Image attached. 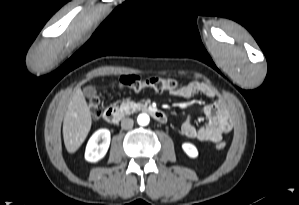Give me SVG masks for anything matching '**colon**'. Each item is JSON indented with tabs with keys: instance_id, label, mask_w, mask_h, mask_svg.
<instances>
[{
	"instance_id": "colon-1",
	"label": "colon",
	"mask_w": 299,
	"mask_h": 205,
	"mask_svg": "<svg viewBox=\"0 0 299 205\" xmlns=\"http://www.w3.org/2000/svg\"><path fill=\"white\" fill-rule=\"evenodd\" d=\"M119 87L132 92H139L145 88L153 89L157 92L162 91H175L181 88V83L172 78H164L161 76H152L149 78H141L136 75H125L119 80ZM100 99L98 96H94L89 101V108L94 117L99 115ZM226 147L224 141H220L216 144L218 150H222Z\"/></svg>"
}]
</instances>
